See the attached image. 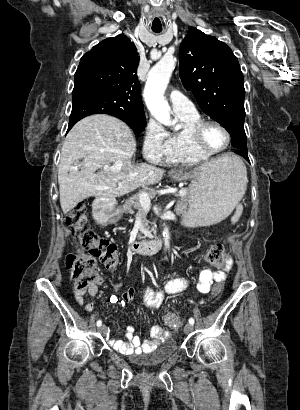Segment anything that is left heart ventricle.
Returning a JSON list of instances; mask_svg holds the SVG:
<instances>
[{
  "label": "left heart ventricle",
  "mask_w": 300,
  "mask_h": 410,
  "mask_svg": "<svg viewBox=\"0 0 300 410\" xmlns=\"http://www.w3.org/2000/svg\"><path fill=\"white\" fill-rule=\"evenodd\" d=\"M203 138L205 144L211 149H220L227 141L225 133L216 125H208L204 129Z\"/></svg>",
  "instance_id": "1"
}]
</instances>
